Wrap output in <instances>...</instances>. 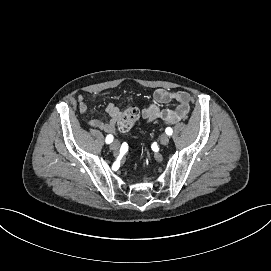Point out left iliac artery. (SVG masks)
I'll return each instance as SVG.
<instances>
[{
	"instance_id": "left-iliac-artery-1",
	"label": "left iliac artery",
	"mask_w": 271,
	"mask_h": 271,
	"mask_svg": "<svg viewBox=\"0 0 271 271\" xmlns=\"http://www.w3.org/2000/svg\"><path fill=\"white\" fill-rule=\"evenodd\" d=\"M165 132L167 135H172L173 130L170 127H168V128H166Z\"/></svg>"
}]
</instances>
